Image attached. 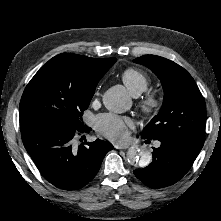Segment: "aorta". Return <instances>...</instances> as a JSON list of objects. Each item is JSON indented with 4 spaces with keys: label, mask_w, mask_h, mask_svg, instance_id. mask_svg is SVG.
Masks as SVG:
<instances>
[{
    "label": "aorta",
    "mask_w": 221,
    "mask_h": 221,
    "mask_svg": "<svg viewBox=\"0 0 221 221\" xmlns=\"http://www.w3.org/2000/svg\"><path fill=\"white\" fill-rule=\"evenodd\" d=\"M105 107L115 113H123L131 107V98L121 86L108 89L103 95ZM128 162L135 166L144 168L152 161V154L145 148L132 146L127 151Z\"/></svg>",
    "instance_id": "762f6f07"
}]
</instances>
